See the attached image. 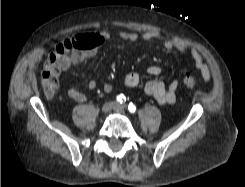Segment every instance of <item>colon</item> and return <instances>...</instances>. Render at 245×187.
I'll return each mask as SVG.
<instances>
[{"label": "colon", "mask_w": 245, "mask_h": 187, "mask_svg": "<svg viewBox=\"0 0 245 187\" xmlns=\"http://www.w3.org/2000/svg\"><path fill=\"white\" fill-rule=\"evenodd\" d=\"M83 47L84 38L74 35L57 44L54 51L45 59L41 70V81L47 97H53L58 90L59 65L65 62L73 51L81 50ZM183 85L186 88H196L199 82L186 74L183 77Z\"/></svg>", "instance_id": "obj_1"}]
</instances>
